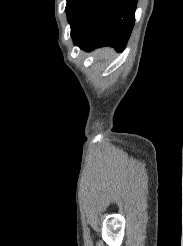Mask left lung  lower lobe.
Returning a JSON list of instances; mask_svg holds the SVG:
<instances>
[{
    "label": "left lung lower lobe",
    "instance_id": "obj_1",
    "mask_svg": "<svg viewBox=\"0 0 183 246\" xmlns=\"http://www.w3.org/2000/svg\"><path fill=\"white\" fill-rule=\"evenodd\" d=\"M138 0H72L67 9L71 36L82 50L111 46L124 50Z\"/></svg>",
    "mask_w": 183,
    "mask_h": 246
}]
</instances>
